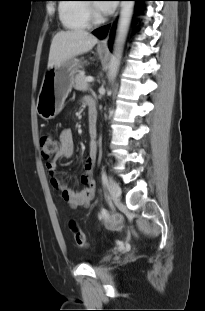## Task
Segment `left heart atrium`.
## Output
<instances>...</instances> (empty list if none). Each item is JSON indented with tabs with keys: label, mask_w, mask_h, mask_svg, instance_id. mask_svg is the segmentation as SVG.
Here are the masks:
<instances>
[{
	"label": "left heart atrium",
	"mask_w": 205,
	"mask_h": 311,
	"mask_svg": "<svg viewBox=\"0 0 205 311\" xmlns=\"http://www.w3.org/2000/svg\"><path fill=\"white\" fill-rule=\"evenodd\" d=\"M99 9L104 13L108 14L112 11L113 9V4L108 3V2H102L99 4Z\"/></svg>",
	"instance_id": "left-heart-atrium-1"
}]
</instances>
